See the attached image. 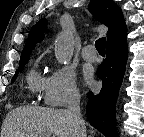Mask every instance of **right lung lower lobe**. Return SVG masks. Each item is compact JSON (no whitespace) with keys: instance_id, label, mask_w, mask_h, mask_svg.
Wrapping results in <instances>:
<instances>
[{"instance_id":"right-lung-lower-lobe-1","label":"right lung lower lobe","mask_w":144,"mask_h":137,"mask_svg":"<svg viewBox=\"0 0 144 137\" xmlns=\"http://www.w3.org/2000/svg\"><path fill=\"white\" fill-rule=\"evenodd\" d=\"M107 57L99 66L102 89L88 93L87 118L92 126L107 137H117L115 108L127 62L126 39L107 47Z\"/></svg>"}]
</instances>
